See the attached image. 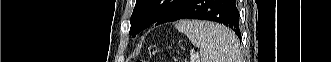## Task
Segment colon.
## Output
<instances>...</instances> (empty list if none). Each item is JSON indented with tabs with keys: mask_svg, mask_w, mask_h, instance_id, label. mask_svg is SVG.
<instances>
[{
	"mask_svg": "<svg viewBox=\"0 0 331 62\" xmlns=\"http://www.w3.org/2000/svg\"><path fill=\"white\" fill-rule=\"evenodd\" d=\"M137 62H145V60H139V61H137Z\"/></svg>",
	"mask_w": 331,
	"mask_h": 62,
	"instance_id": "obj_1",
	"label": "colon"
}]
</instances>
